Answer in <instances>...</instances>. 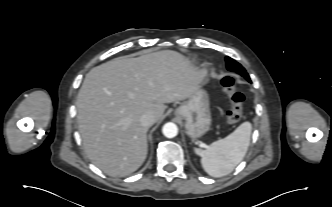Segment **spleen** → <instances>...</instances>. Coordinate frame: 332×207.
<instances>
[{
  "mask_svg": "<svg viewBox=\"0 0 332 207\" xmlns=\"http://www.w3.org/2000/svg\"><path fill=\"white\" fill-rule=\"evenodd\" d=\"M251 131V123L243 122L234 132L213 142L206 149L195 148L204 171L213 177L231 173L248 150Z\"/></svg>",
  "mask_w": 332,
  "mask_h": 207,
  "instance_id": "spleen-1",
  "label": "spleen"
}]
</instances>
